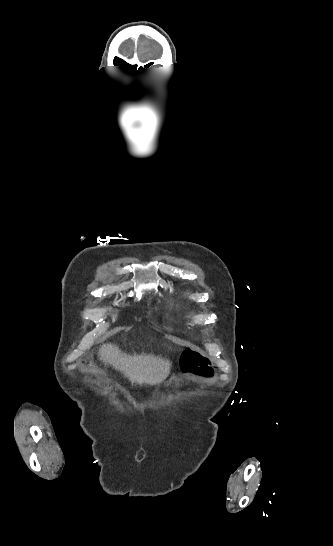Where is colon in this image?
I'll list each match as a JSON object with an SVG mask.
<instances>
[{
	"mask_svg": "<svg viewBox=\"0 0 333 546\" xmlns=\"http://www.w3.org/2000/svg\"><path fill=\"white\" fill-rule=\"evenodd\" d=\"M182 364L185 371L206 378L213 375L210 361L206 355L196 349H187L182 355Z\"/></svg>",
	"mask_w": 333,
	"mask_h": 546,
	"instance_id": "1",
	"label": "colon"
}]
</instances>
